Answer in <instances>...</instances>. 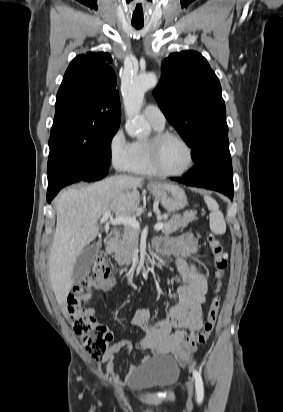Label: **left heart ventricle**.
Wrapping results in <instances>:
<instances>
[{
    "label": "left heart ventricle",
    "instance_id": "left-heart-ventricle-1",
    "mask_svg": "<svg viewBox=\"0 0 283 412\" xmlns=\"http://www.w3.org/2000/svg\"><path fill=\"white\" fill-rule=\"evenodd\" d=\"M160 165L167 172L183 170L189 161L187 148L177 139L166 140L160 151Z\"/></svg>",
    "mask_w": 283,
    "mask_h": 412
}]
</instances>
